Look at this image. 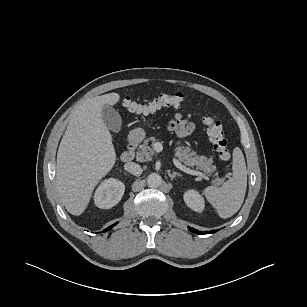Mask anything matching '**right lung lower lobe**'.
Listing matches in <instances>:
<instances>
[{"instance_id": "1", "label": "right lung lower lobe", "mask_w": 307, "mask_h": 307, "mask_svg": "<svg viewBox=\"0 0 307 307\" xmlns=\"http://www.w3.org/2000/svg\"><path fill=\"white\" fill-rule=\"evenodd\" d=\"M117 223H115L114 225L109 226L108 228H106L103 232H106L108 230H110L113 226H115Z\"/></svg>"}]
</instances>
